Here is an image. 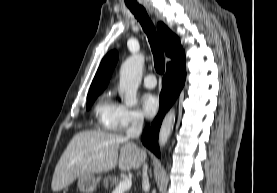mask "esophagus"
Returning <instances> with one entry per match:
<instances>
[{
	"label": "esophagus",
	"mask_w": 277,
	"mask_h": 193,
	"mask_svg": "<svg viewBox=\"0 0 277 193\" xmlns=\"http://www.w3.org/2000/svg\"><path fill=\"white\" fill-rule=\"evenodd\" d=\"M144 7L149 11V13L153 14V9L149 3H144Z\"/></svg>",
	"instance_id": "esophagus-1"
}]
</instances>
